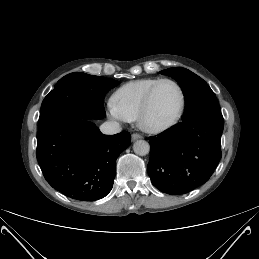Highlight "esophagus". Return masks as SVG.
Returning <instances> with one entry per match:
<instances>
[{
	"instance_id": "esophagus-1",
	"label": "esophagus",
	"mask_w": 259,
	"mask_h": 259,
	"mask_svg": "<svg viewBox=\"0 0 259 259\" xmlns=\"http://www.w3.org/2000/svg\"><path fill=\"white\" fill-rule=\"evenodd\" d=\"M131 138H132V141H136L138 139H141L142 136L140 134L134 133L132 134Z\"/></svg>"
}]
</instances>
